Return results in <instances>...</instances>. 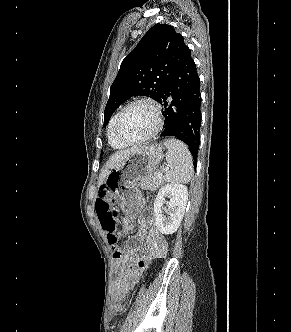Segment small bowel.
<instances>
[{"mask_svg":"<svg viewBox=\"0 0 291 332\" xmlns=\"http://www.w3.org/2000/svg\"><path fill=\"white\" fill-rule=\"evenodd\" d=\"M103 187L105 186L101 188ZM139 224L140 228L135 234L134 240L144 244L143 252L138 253L136 249L127 246L119 249L118 257H114V271L118 277L114 282L112 295L116 300H122L127 295L151 260L163 258L167 253L166 239L155 227L153 219L142 216ZM132 230V222L124 219L123 233H130ZM127 263L129 265L126 272L123 273Z\"/></svg>","mask_w":291,"mask_h":332,"instance_id":"1","label":"small bowel"}]
</instances>
